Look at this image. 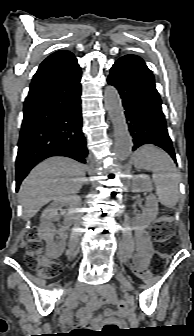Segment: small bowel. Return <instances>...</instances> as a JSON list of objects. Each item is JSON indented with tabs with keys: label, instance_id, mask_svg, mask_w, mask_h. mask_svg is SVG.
<instances>
[{
	"label": "small bowel",
	"instance_id": "c3829d8e",
	"mask_svg": "<svg viewBox=\"0 0 194 336\" xmlns=\"http://www.w3.org/2000/svg\"><path fill=\"white\" fill-rule=\"evenodd\" d=\"M136 244H137V255L135 258V265L139 270H145L149 263V259L152 252V245L149 240L147 233L144 230H138L136 232ZM76 299L86 300L87 294L85 292H78L75 295ZM103 303L113 302L115 300L114 289L112 286L107 285L99 291V295L95 297ZM106 313L109 316H112V311L107 310ZM62 321L65 324H69L72 321L71 315L69 312H65L62 316ZM75 323L82 326L84 325V317L82 314H79L75 318Z\"/></svg>",
	"mask_w": 194,
	"mask_h": 336
}]
</instances>
